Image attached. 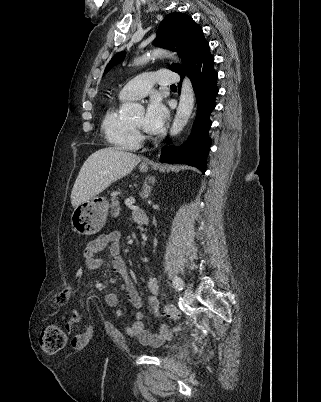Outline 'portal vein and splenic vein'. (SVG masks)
Segmentation results:
<instances>
[{"mask_svg":"<svg viewBox=\"0 0 321 402\" xmlns=\"http://www.w3.org/2000/svg\"><path fill=\"white\" fill-rule=\"evenodd\" d=\"M134 203H135V199H134L133 197L127 198V199L125 200V204H126V205H132V204H134Z\"/></svg>","mask_w":321,"mask_h":402,"instance_id":"18ae733b","label":"portal vein and splenic vein"}]
</instances>
